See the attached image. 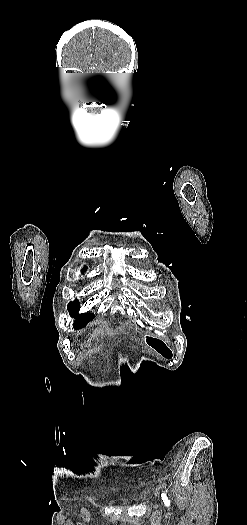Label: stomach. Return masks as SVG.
Instances as JSON below:
<instances>
[{"label": "stomach", "instance_id": "1", "mask_svg": "<svg viewBox=\"0 0 247 525\" xmlns=\"http://www.w3.org/2000/svg\"><path fill=\"white\" fill-rule=\"evenodd\" d=\"M144 344L152 349L155 353H157L159 356L170 359L172 358L173 351L169 348V346L166 344L165 341L153 338L148 335H144Z\"/></svg>", "mask_w": 247, "mask_h": 525}]
</instances>
